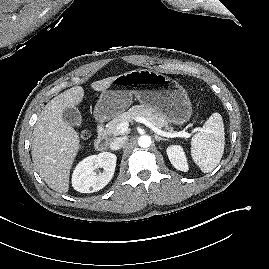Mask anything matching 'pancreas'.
<instances>
[{"label": "pancreas", "mask_w": 269, "mask_h": 269, "mask_svg": "<svg viewBox=\"0 0 269 269\" xmlns=\"http://www.w3.org/2000/svg\"><path fill=\"white\" fill-rule=\"evenodd\" d=\"M136 117H144L151 121L158 128L169 129L168 122L153 108L146 107L144 105L132 106L128 111L115 117L108 123L107 134L108 135H119L117 126L122 122H131Z\"/></svg>", "instance_id": "pancreas-1"}]
</instances>
